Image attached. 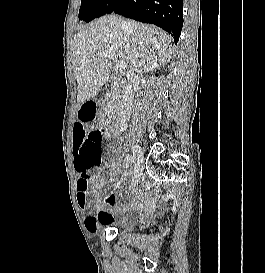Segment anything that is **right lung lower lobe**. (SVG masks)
<instances>
[{
    "instance_id": "1",
    "label": "right lung lower lobe",
    "mask_w": 265,
    "mask_h": 273,
    "mask_svg": "<svg viewBox=\"0 0 265 273\" xmlns=\"http://www.w3.org/2000/svg\"><path fill=\"white\" fill-rule=\"evenodd\" d=\"M110 13L151 23L179 40L183 26V0H118Z\"/></svg>"
}]
</instances>
